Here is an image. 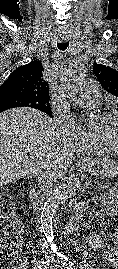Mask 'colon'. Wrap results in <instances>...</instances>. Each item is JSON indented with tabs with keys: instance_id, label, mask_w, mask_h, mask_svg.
<instances>
[{
	"instance_id": "5ec220e1",
	"label": "colon",
	"mask_w": 118,
	"mask_h": 269,
	"mask_svg": "<svg viewBox=\"0 0 118 269\" xmlns=\"http://www.w3.org/2000/svg\"><path fill=\"white\" fill-rule=\"evenodd\" d=\"M0 221L4 226V235L0 241L3 249L16 244L21 237V223L15 215L10 196L5 190H0Z\"/></svg>"
}]
</instances>
